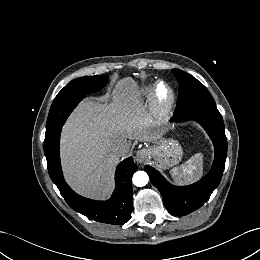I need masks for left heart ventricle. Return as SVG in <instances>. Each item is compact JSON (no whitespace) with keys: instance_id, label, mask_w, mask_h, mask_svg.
I'll return each mask as SVG.
<instances>
[{"instance_id":"b2bd125f","label":"left heart ventricle","mask_w":260,"mask_h":260,"mask_svg":"<svg viewBox=\"0 0 260 260\" xmlns=\"http://www.w3.org/2000/svg\"><path fill=\"white\" fill-rule=\"evenodd\" d=\"M169 97H170L169 91L163 85H161L158 89V98L160 102L164 103L168 101Z\"/></svg>"}]
</instances>
